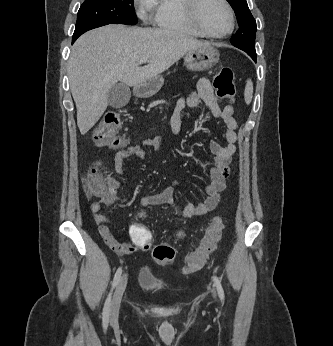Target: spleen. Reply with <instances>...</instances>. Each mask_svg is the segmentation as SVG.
<instances>
[{
    "label": "spleen",
    "instance_id": "obj_1",
    "mask_svg": "<svg viewBox=\"0 0 333 346\" xmlns=\"http://www.w3.org/2000/svg\"><path fill=\"white\" fill-rule=\"evenodd\" d=\"M253 96V83L251 79H248L245 86L244 98L247 104H250Z\"/></svg>",
    "mask_w": 333,
    "mask_h": 346
}]
</instances>
